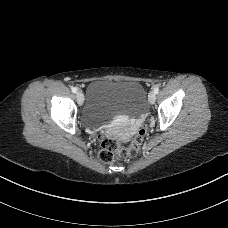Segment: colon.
Instances as JSON below:
<instances>
[{
  "label": "colon",
  "instance_id": "colon-1",
  "mask_svg": "<svg viewBox=\"0 0 228 228\" xmlns=\"http://www.w3.org/2000/svg\"><path fill=\"white\" fill-rule=\"evenodd\" d=\"M146 133V127L141 128L131 144L124 147L113 138H107L102 142L99 158L104 163H111L115 160H129L134 158L139 151L140 145Z\"/></svg>",
  "mask_w": 228,
  "mask_h": 228
}]
</instances>
